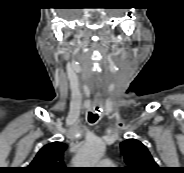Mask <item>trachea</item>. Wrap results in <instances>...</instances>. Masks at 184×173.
Masks as SVG:
<instances>
[{"instance_id": "3493384b", "label": "trachea", "mask_w": 184, "mask_h": 173, "mask_svg": "<svg viewBox=\"0 0 184 173\" xmlns=\"http://www.w3.org/2000/svg\"><path fill=\"white\" fill-rule=\"evenodd\" d=\"M98 120V115L89 113L88 115V121L90 123H95Z\"/></svg>"}]
</instances>
